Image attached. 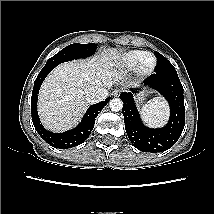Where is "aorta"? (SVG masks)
Returning <instances> with one entry per match:
<instances>
[{
  "label": "aorta",
  "instance_id": "obj_1",
  "mask_svg": "<svg viewBox=\"0 0 214 214\" xmlns=\"http://www.w3.org/2000/svg\"><path fill=\"white\" fill-rule=\"evenodd\" d=\"M109 106H110V109L112 111L118 112V111H120L122 109L123 102L119 98H114V99L110 100Z\"/></svg>",
  "mask_w": 214,
  "mask_h": 214
}]
</instances>
